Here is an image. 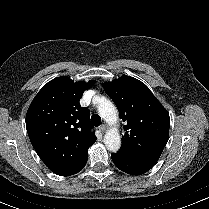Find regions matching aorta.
Wrapping results in <instances>:
<instances>
[{"mask_svg": "<svg viewBox=\"0 0 209 209\" xmlns=\"http://www.w3.org/2000/svg\"><path fill=\"white\" fill-rule=\"evenodd\" d=\"M98 113L110 125L118 121L115 105L106 97H98ZM104 144L111 152H117L121 147V137L116 128L109 129L104 136Z\"/></svg>", "mask_w": 209, "mask_h": 209, "instance_id": "762f6f07", "label": "aorta"}]
</instances>
